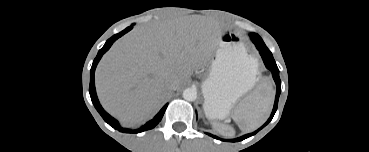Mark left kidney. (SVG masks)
I'll list each match as a JSON object with an SVG mask.
<instances>
[{"label": "left kidney", "instance_id": "1", "mask_svg": "<svg viewBox=\"0 0 369 152\" xmlns=\"http://www.w3.org/2000/svg\"><path fill=\"white\" fill-rule=\"evenodd\" d=\"M213 128L215 130H217L218 132L222 133V134H229V135H233L234 131L231 127L226 126V125H221V124H217V123H212Z\"/></svg>", "mask_w": 369, "mask_h": 152}]
</instances>
